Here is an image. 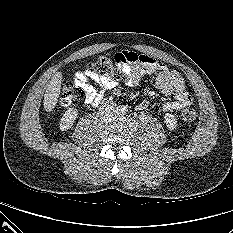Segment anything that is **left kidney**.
<instances>
[{
  "label": "left kidney",
  "mask_w": 233,
  "mask_h": 233,
  "mask_svg": "<svg viewBox=\"0 0 233 233\" xmlns=\"http://www.w3.org/2000/svg\"><path fill=\"white\" fill-rule=\"evenodd\" d=\"M164 122L171 131L177 128V120L173 114H165Z\"/></svg>",
  "instance_id": "obj_1"
}]
</instances>
